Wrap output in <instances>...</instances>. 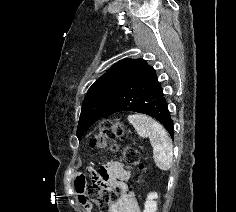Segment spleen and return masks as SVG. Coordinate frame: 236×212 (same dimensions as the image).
<instances>
[{"instance_id": "3e777b00", "label": "spleen", "mask_w": 236, "mask_h": 212, "mask_svg": "<svg viewBox=\"0 0 236 212\" xmlns=\"http://www.w3.org/2000/svg\"><path fill=\"white\" fill-rule=\"evenodd\" d=\"M128 121L143 138H149L153 147V158L161 170H169L173 161V145L163 126L143 114L128 116Z\"/></svg>"}]
</instances>
